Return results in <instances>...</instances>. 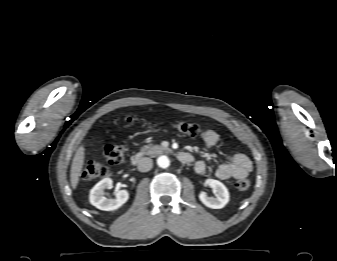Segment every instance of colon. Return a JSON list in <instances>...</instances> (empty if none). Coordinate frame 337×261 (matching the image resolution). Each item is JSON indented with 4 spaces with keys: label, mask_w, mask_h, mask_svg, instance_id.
<instances>
[{
    "label": "colon",
    "mask_w": 337,
    "mask_h": 261,
    "mask_svg": "<svg viewBox=\"0 0 337 261\" xmlns=\"http://www.w3.org/2000/svg\"><path fill=\"white\" fill-rule=\"evenodd\" d=\"M141 120L134 117H126L125 123L128 125H133L140 123ZM172 128L179 133L189 136V137H201L204 138L206 131L195 123L190 122H176L173 123ZM104 156L109 164H119L125 158V147L118 143H109L104 147ZM108 174V169L106 166L95 160H89L82 170V178L84 180H95L98 178L105 177ZM250 186V182L245 179H237L233 183V187L238 191H246Z\"/></svg>",
    "instance_id": "colon-1"
}]
</instances>
